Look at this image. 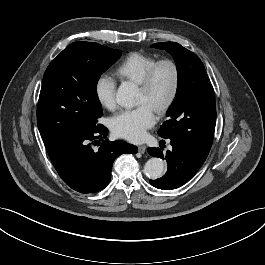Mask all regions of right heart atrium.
Instances as JSON below:
<instances>
[{
    "instance_id": "right-heart-atrium-1",
    "label": "right heart atrium",
    "mask_w": 265,
    "mask_h": 265,
    "mask_svg": "<svg viewBox=\"0 0 265 265\" xmlns=\"http://www.w3.org/2000/svg\"><path fill=\"white\" fill-rule=\"evenodd\" d=\"M116 81L107 74H101L94 83V93L98 103L108 109L116 107Z\"/></svg>"
}]
</instances>
